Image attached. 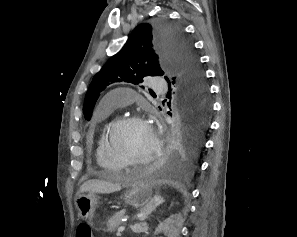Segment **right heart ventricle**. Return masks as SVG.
<instances>
[{
    "instance_id": "obj_1",
    "label": "right heart ventricle",
    "mask_w": 297,
    "mask_h": 237,
    "mask_svg": "<svg viewBox=\"0 0 297 237\" xmlns=\"http://www.w3.org/2000/svg\"><path fill=\"white\" fill-rule=\"evenodd\" d=\"M112 111V108L101 106L100 116H107ZM113 124L114 121L104 124L96 144L97 163L110 175H114L124 169V166L119 162V160L112 155L108 146V133Z\"/></svg>"
}]
</instances>
